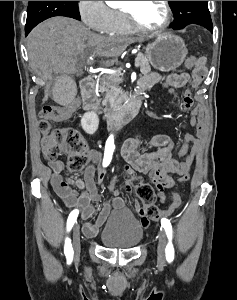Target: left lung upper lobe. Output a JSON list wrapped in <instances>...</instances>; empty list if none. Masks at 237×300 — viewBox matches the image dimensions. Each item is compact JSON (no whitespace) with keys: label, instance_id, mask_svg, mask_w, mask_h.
<instances>
[{"label":"left lung upper lobe","instance_id":"5c2ea615","mask_svg":"<svg viewBox=\"0 0 237 300\" xmlns=\"http://www.w3.org/2000/svg\"><path fill=\"white\" fill-rule=\"evenodd\" d=\"M173 14V29H183L189 24H197L213 31L212 20L208 10V1H169Z\"/></svg>","mask_w":237,"mask_h":300}]
</instances>
